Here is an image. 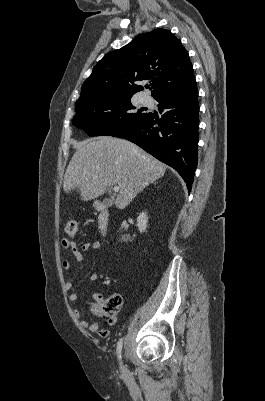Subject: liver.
Instances as JSON below:
<instances>
[{
    "label": "liver",
    "mask_w": 265,
    "mask_h": 401,
    "mask_svg": "<svg viewBox=\"0 0 265 401\" xmlns=\"http://www.w3.org/2000/svg\"><path fill=\"white\" fill-rule=\"evenodd\" d=\"M65 172L64 190H79L82 201L104 194L108 184H118L117 209L130 205L138 192L164 176L166 164L121 138L97 136L75 142Z\"/></svg>",
    "instance_id": "1"
}]
</instances>
